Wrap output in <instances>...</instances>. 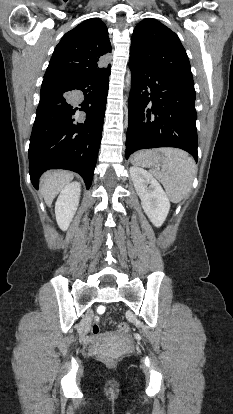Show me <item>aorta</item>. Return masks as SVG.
I'll return each mask as SVG.
<instances>
[{"label": "aorta", "mask_w": 233, "mask_h": 414, "mask_svg": "<svg viewBox=\"0 0 233 414\" xmlns=\"http://www.w3.org/2000/svg\"><path fill=\"white\" fill-rule=\"evenodd\" d=\"M126 84H127L128 88L130 89V86H131V73L130 72H128V74H127Z\"/></svg>", "instance_id": "obj_1"}]
</instances>
